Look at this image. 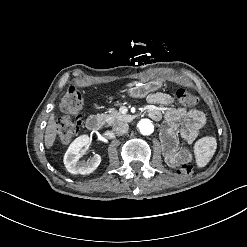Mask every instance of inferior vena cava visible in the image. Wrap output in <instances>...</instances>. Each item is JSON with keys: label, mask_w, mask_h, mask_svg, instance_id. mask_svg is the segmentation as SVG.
<instances>
[{"label": "inferior vena cava", "mask_w": 247, "mask_h": 247, "mask_svg": "<svg viewBox=\"0 0 247 247\" xmlns=\"http://www.w3.org/2000/svg\"><path fill=\"white\" fill-rule=\"evenodd\" d=\"M129 129V125L126 122H119L114 124L113 126V132L117 135V136H121L123 134H125Z\"/></svg>", "instance_id": "1"}]
</instances>
